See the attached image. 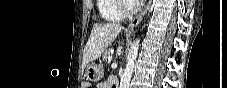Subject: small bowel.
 <instances>
[{
	"label": "small bowel",
	"instance_id": "1",
	"mask_svg": "<svg viewBox=\"0 0 227 88\" xmlns=\"http://www.w3.org/2000/svg\"><path fill=\"white\" fill-rule=\"evenodd\" d=\"M114 78H110L108 81L106 82H101L97 85L98 88H112V84H111V80H113Z\"/></svg>",
	"mask_w": 227,
	"mask_h": 88
}]
</instances>
